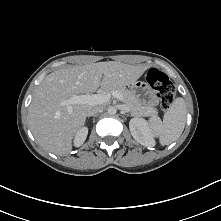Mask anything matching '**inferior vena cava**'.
I'll list each match as a JSON object with an SVG mask.
<instances>
[{"label": "inferior vena cava", "instance_id": "inferior-vena-cava-1", "mask_svg": "<svg viewBox=\"0 0 221 221\" xmlns=\"http://www.w3.org/2000/svg\"><path fill=\"white\" fill-rule=\"evenodd\" d=\"M102 111H103V107H101V106H96V107H94L91 111L88 112L87 116H93V115H95V114H97V113H100V112H102Z\"/></svg>", "mask_w": 221, "mask_h": 221}]
</instances>
